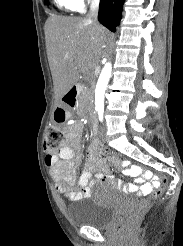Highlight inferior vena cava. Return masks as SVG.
I'll use <instances>...</instances> for the list:
<instances>
[{
  "instance_id": "inferior-vena-cava-1",
  "label": "inferior vena cava",
  "mask_w": 183,
  "mask_h": 246,
  "mask_svg": "<svg viewBox=\"0 0 183 246\" xmlns=\"http://www.w3.org/2000/svg\"><path fill=\"white\" fill-rule=\"evenodd\" d=\"M98 9H99V0H91L90 10L86 16V19L94 26L98 25L97 22Z\"/></svg>"
}]
</instances>
